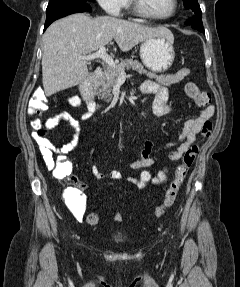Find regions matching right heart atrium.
Here are the masks:
<instances>
[{
    "mask_svg": "<svg viewBox=\"0 0 240 287\" xmlns=\"http://www.w3.org/2000/svg\"><path fill=\"white\" fill-rule=\"evenodd\" d=\"M99 5L109 15L119 16L121 15L127 0H97Z\"/></svg>",
    "mask_w": 240,
    "mask_h": 287,
    "instance_id": "d8ad5b80",
    "label": "right heart atrium"
}]
</instances>
